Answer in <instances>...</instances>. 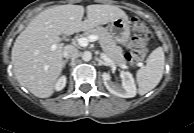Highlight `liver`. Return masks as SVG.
I'll return each mask as SVG.
<instances>
[{"label": "liver", "mask_w": 194, "mask_h": 133, "mask_svg": "<svg viewBox=\"0 0 194 133\" xmlns=\"http://www.w3.org/2000/svg\"><path fill=\"white\" fill-rule=\"evenodd\" d=\"M87 19L82 21L84 7L59 5L38 14L16 38L11 51L14 75L19 84L39 98L50 97L63 69L60 35H72L104 25L126 13L113 5H88ZM56 45L55 50L51 46Z\"/></svg>", "instance_id": "6515ba94"}]
</instances>
